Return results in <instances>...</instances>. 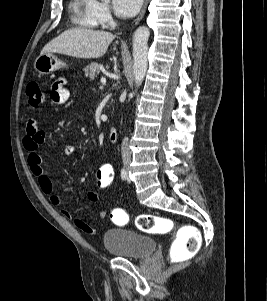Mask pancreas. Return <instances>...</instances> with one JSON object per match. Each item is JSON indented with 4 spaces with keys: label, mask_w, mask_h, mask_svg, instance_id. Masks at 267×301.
<instances>
[{
    "label": "pancreas",
    "mask_w": 267,
    "mask_h": 301,
    "mask_svg": "<svg viewBox=\"0 0 267 301\" xmlns=\"http://www.w3.org/2000/svg\"><path fill=\"white\" fill-rule=\"evenodd\" d=\"M100 68L101 65L96 62H92L84 68V72L87 76L90 77L91 80H94L95 77H97V75L99 74Z\"/></svg>",
    "instance_id": "obj_1"
}]
</instances>
